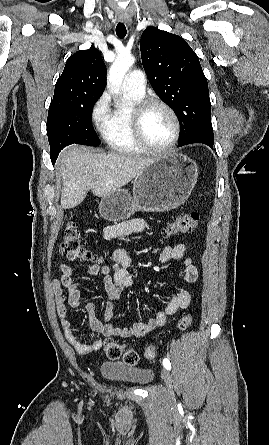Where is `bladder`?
<instances>
[{
  "instance_id": "bladder-1",
  "label": "bladder",
  "mask_w": 269,
  "mask_h": 445,
  "mask_svg": "<svg viewBox=\"0 0 269 445\" xmlns=\"http://www.w3.org/2000/svg\"><path fill=\"white\" fill-rule=\"evenodd\" d=\"M100 373L105 379L136 386H145L154 377V373L150 369L135 368L114 360L103 362L100 366Z\"/></svg>"
}]
</instances>
